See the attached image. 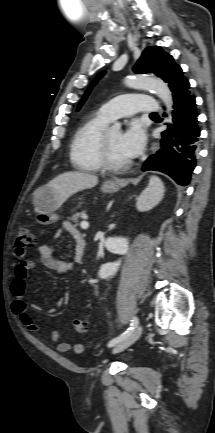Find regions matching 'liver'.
<instances>
[{
  "label": "liver",
  "instance_id": "liver-1",
  "mask_svg": "<svg viewBox=\"0 0 215 433\" xmlns=\"http://www.w3.org/2000/svg\"><path fill=\"white\" fill-rule=\"evenodd\" d=\"M97 184L98 177L95 175L77 171H69L62 173L52 179L47 186L54 190L61 205L76 192L93 188Z\"/></svg>",
  "mask_w": 215,
  "mask_h": 433
}]
</instances>
